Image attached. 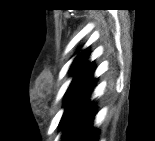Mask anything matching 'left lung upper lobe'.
Returning a JSON list of instances; mask_svg holds the SVG:
<instances>
[{"instance_id":"left-lung-upper-lobe-1","label":"left lung upper lobe","mask_w":155,"mask_h":141,"mask_svg":"<svg viewBox=\"0 0 155 141\" xmlns=\"http://www.w3.org/2000/svg\"><path fill=\"white\" fill-rule=\"evenodd\" d=\"M89 48L80 52L74 59L70 71L74 74L73 80L67 89L64 97L63 107L65 108L60 125H63L70 106L86 90L93 80L95 65L88 61Z\"/></svg>"}]
</instances>
